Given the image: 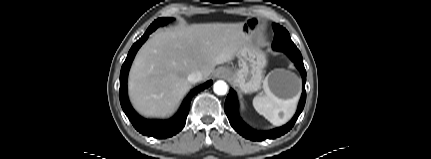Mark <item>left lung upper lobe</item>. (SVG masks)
<instances>
[{
  "label": "left lung upper lobe",
  "instance_id": "left-lung-upper-lobe-1",
  "mask_svg": "<svg viewBox=\"0 0 431 159\" xmlns=\"http://www.w3.org/2000/svg\"><path fill=\"white\" fill-rule=\"evenodd\" d=\"M273 30L275 32L272 47L275 50L280 51H298V48L292 42L289 32L279 24H273Z\"/></svg>",
  "mask_w": 431,
  "mask_h": 159
}]
</instances>
